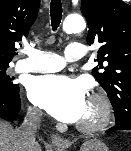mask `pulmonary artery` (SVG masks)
Segmentation results:
<instances>
[{
	"mask_svg": "<svg viewBox=\"0 0 131 151\" xmlns=\"http://www.w3.org/2000/svg\"><path fill=\"white\" fill-rule=\"evenodd\" d=\"M28 57L16 63V70L20 72H57L63 69L67 62L82 59L86 54L85 46L80 42H71L62 57L56 53L30 49Z\"/></svg>",
	"mask_w": 131,
	"mask_h": 151,
	"instance_id": "obj_1",
	"label": "pulmonary artery"
}]
</instances>
